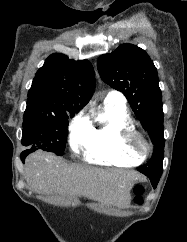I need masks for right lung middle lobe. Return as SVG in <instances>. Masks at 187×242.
Returning a JSON list of instances; mask_svg holds the SVG:
<instances>
[{"instance_id":"dd1d6c3e","label":"right lung middle lobe","mask_w":187,"mask_h":242,"mask_svg":"<svg viewBox=\"0 0 187 242\" xmlns=\"http://www.w3.org/2000/svg\"><path fill=\"white\" fill-rule=\"evenodd\" d=\"M70 117L75 113L68 112ZM68 114L25 112L22 145L63 155L66 145Z\"/></svg>"}]
</instances>
